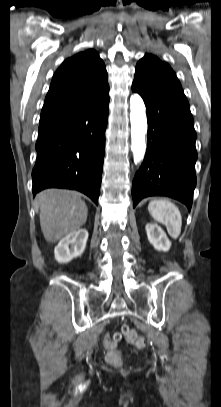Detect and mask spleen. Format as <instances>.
I'll use <instances>...</instances> for the list:
<instances>
[{"label": "spleen", "mask_w": 221, "mask_h": 407, "mask_svg": "<svg viewBox=\"0 0 221 407\" xmlns=\"http://www.w3.org/2000/svg\"><path fill=\"white\" fill-rule=\"evenodd\" d=\"M148 211L156 221L166 226L172 238L180 235L182 216L175 204L166 199L152 200L148 205Z\"/></svg>", "instance_id": "obj_1"}]
</instances>
